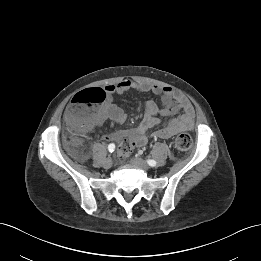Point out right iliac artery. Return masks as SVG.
I'll return each instance as SVG.
<instances>
[{"instance_id":"right-iliac-artery-1","label":"right iliac artery","mask_w":261,"mask_h":261,"mask_svg":"<svg viewBox=\"0 0 261 261\" xmlns=\"http://www.w3.org/2000/svg\"><path fill=\"white\" fill-rule=\"evenodd\" d=\"M109 152H113L115 150V144L111 143L108 145Z\"/></svg>"}]
</instances>
